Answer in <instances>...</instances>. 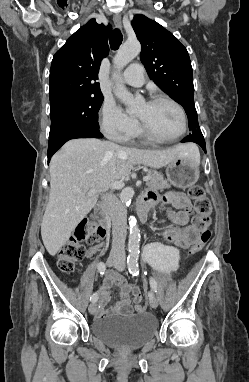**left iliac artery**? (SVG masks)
Returning a JSON list of instances; mask_svg holds the SVG:
<instances>
[{"label": "left iliac artery", "mask_w": 249, "mask_h": 382, "mask_svg": "<svg viewBox=\"0 0 249 382\" xmlns=\"http://www.w3.org/2000/svg\"><path fill=\"white\" fill-rule=\"evenodd\" d=\"M138 253H139V251L138 252L134 251L127 258V264H128L129 272L134 276L138 275V273H139L138 263H137ZM150 287L153 291L156 292L157 283H156L155 279L152 277H150Z\"/></svg>", "instance_id": "obj_1"}]
</instances>
